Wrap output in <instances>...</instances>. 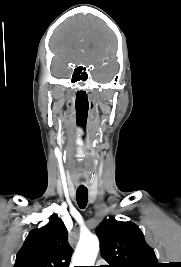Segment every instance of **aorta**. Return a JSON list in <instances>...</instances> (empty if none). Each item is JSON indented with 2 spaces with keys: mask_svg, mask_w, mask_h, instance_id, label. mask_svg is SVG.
Masks as SVG:
<instances>
[{
  "mask_svg": "<svg viewBox=\"0 0 181 267\" xmlns=\"http://www.w3.org/2000/svg\"><path fill=\"white\" fill-rule=\"evenodd\" d=\"M99 251V240L93 234L80 237L73 255V266H93Z\"/></svg>",
  "mask_w": 181,
  "mask_h": 267,
  "instance_id": "obj_1",
  "label": "aorta"
}]
</instances>
